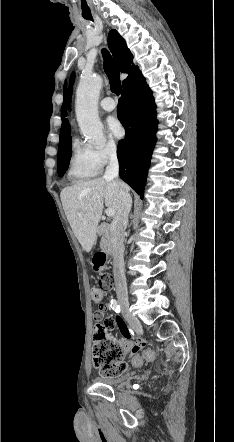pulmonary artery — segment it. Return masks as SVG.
I'll return each instance as SVG.
<instances>
[{
    "mask_svg": "<svg viewBox=\"0 0 234 442\" xmlns=\"http://www.w3.org/2000/svg\"><path fill=\"white\" fill-rule=\"evenodd\" d=\"M100 107L107 112L113 111L116 108V103L111 97H106L101 100Z\"/></svg>",
    "mask_w": 234,
    "mask_h": 442,
    "instance_id": "1",
    "label": "pulmonary artery"
}]
</instances>
